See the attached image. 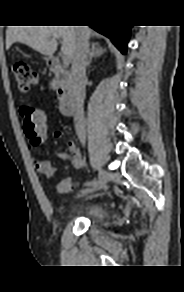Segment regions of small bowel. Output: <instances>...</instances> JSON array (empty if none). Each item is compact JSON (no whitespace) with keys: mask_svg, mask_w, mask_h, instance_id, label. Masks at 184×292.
I'll return each mask as SVG.
<instances>
[{"mask_svg":"<svg viewBox=\"0 0 184 292\" xmlns=\"http://www.w3.org/2000/svg\"><path fill=\"white\" fill-rule=\"evenodd\" d=\"M61 133L56 132V137H60ZM29 146L33 147L29 141ZM69 152L58 151L56 156L62 160L69 161L75 169H81L83 167V160L81 153L76 143L70 139L68 141ZM35 167L40 174L50 178L54 175L56 169L47 160H35ZM58 192L67 193L72 189V183L69 179L61 180L57 185Z\"/></svg>","mask_w":184,"mask_h":292,"instance_id":"c3829d8e","label":"small bowel"}]
</instances>
